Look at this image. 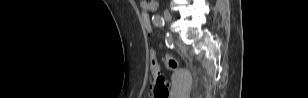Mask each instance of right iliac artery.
<instances>
[{
	"instance_id": "obj_1",
	"label": "right iliac artery",
	"mask_w": 308,
	"mask_h": 98,
	"mask_svg": "<svg viewBox=\"0 0 308 98\" xmlns=\"http://www.w3.org/2000/svg\"><path fill=\"white\" fill-rule=\"evenodd\" d=\"M153 24L157 27L164 26V19L160 15H154L152 17Z\"/></svg>"
}]
</instances>
